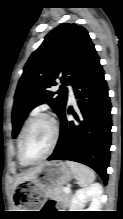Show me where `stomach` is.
<instances>
[{
    "mask_svg": "<svg viewBox=\"0 0 123 219\" xmlns=\"http://www.w3.org/2000/svg\"><path fill=\"white\" fill-rule=\"evenodd\" d=\"M73 177L74 173L67 163L63 161L45 162L34 177L21 183L20 193L22 197H19V204L15 206L16 209L39 208L50 190L62 187L70 182Z\"/></svg>",
    "mask_w": 123,
    "mask_h": 219,
    "instance_id": "stomach-1",
    "label": "stomach"
}]
</instances>
